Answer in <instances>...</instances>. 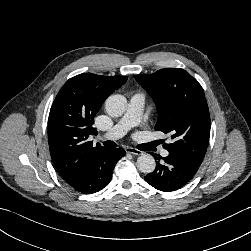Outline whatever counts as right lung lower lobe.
Here are the masks:
<instances>
[{"label": "right lung lower lobe", "instance_id": "obj_1", "mask_svg": "<svg viewBox=\"0 0 251 251\" xmlns=\"http://www.w3.org/2000/svg\"><path fill=\"white\" fill-rule=\"evenodd\" d=\"M125 154L123 148H105L90 153L65 182L83 194L98 192L109 184L116 163Z\"/></svg>", "mask_w": 251, "mask_h": 251}]
</instances>
